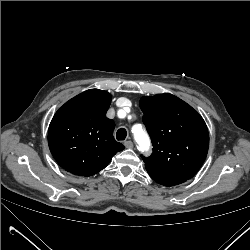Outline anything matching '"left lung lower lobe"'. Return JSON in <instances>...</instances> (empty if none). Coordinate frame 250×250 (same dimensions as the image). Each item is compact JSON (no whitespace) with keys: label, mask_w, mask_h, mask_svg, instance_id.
Returning <instances> with one entry per match:
<instances>
[{"label":"left lung lower lobe","mask_w":250,"mask_h":250,"mask_svg":"<svg viewBox=\"0 0 250 250\" xmlns=\"http://www.w3.org/2000/svg\"><path fill=\"white\" fill-rule=\"evenodd\" d=\"M157 183L164 185V186H174L180 183H183V181L175 180V179H154ZM185 182V181H184Z\"/></svg>","instance_id":"left-lung-lower-lobe-1"}]
</instances>
